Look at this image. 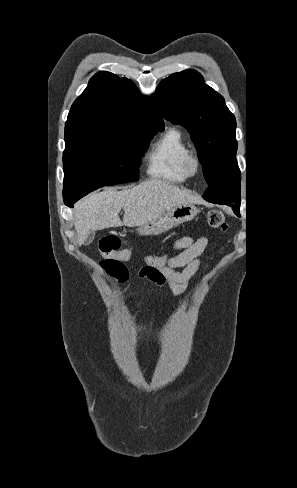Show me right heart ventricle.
Wrapping results in <instances>:
<instances>
[{"label": "right heart ventricle", "mask_w": 297, "mask_h": 488, "mask_svg": "<svg viewBox=\"0 0 297 488\" xmlns=\"http://www.w3.org/2000/svg\"><path fill=\"white\" fill-rule=\"evenodd\" d=\"M191 150L183 133L176 127L167 128L153 143L146 154V173L158 180L182 183L189 176L183 160Z\"/></svg>", "instance_id": "obj_1"}]
</instances>
